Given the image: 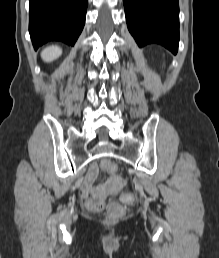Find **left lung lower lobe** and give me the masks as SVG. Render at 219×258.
Returning a JSON list of instances; mask_svg holds the SVG:
<instances>
[{
    "label": "left lung lower lobe",
    "instance_id": "1",
    "mask_svg": "<svg viewBox=\"0 0 219 258\" xmlns=\"http://www.w3.org/2000/svg\"><path fill=\"white\" fill-rule=\"evenodd\" d=\"M127 26L139 47L160 44L173 54L179 43L178 0H123Z\"/></svg>",
    "mask_w": 219,
    "mask_h": 258
}]
</instances>
